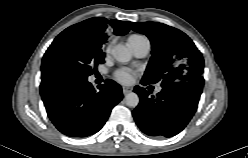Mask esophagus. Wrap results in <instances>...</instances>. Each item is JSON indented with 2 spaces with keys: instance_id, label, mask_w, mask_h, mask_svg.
Instances as JSON below:
<instances>
[{
  "instance_id": "esophagus-1",
  "label": "esophagus",
  "mask_w": 248,
  "mask_h": 158,
  "mask_svg": "<svg viewBox=\"0 0 248 158\" xmlns=\"http://www.w3.org/2000/svg\"><path fill=\"white\" fill-rule=\"evenodd\" d=\"M122 91H123V94L126 95V94H128L129 92H131L132 89H131L130 87L123 86V87H122Z\"/></svg>"
}]
</instances>
